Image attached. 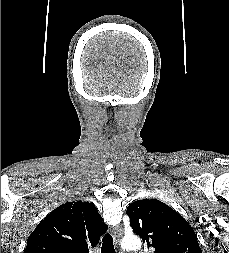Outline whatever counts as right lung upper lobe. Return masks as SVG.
I'll return each mask as SVG.
<instances>
[{"mask_svg":"<svg viewBox=\"0 0 229 253\" xmlns=\"http://www.w3.org/2000/svg\"><path fill=\"white\" fill-rule=\"evenodd\" d=\"M107 228L94 204L68 202L38 224L24 253H89Z\"/></svg>","mask_w":229,"mask_h":253,"instance_id":"right-lung-upper-lobe-1","label":"right lung upper lobe"}]
</instances>
